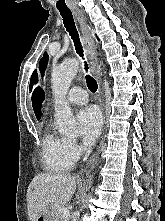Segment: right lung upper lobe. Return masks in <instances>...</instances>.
<instances>
[{"instance_id":"obj_1","label":"right lung upper lobe","mask_w":165,"mask_h":221,"mask_svg":"<svg viewBox=\"0 0 165 221\" xmlns=\"http://www.w3.org/2000/svg\"><path fill=\"white\" fill-rule=\"evenodd\" d=\"M36 83H37V71L35 70L31 77L30 90H32L33 84H36Z\"/></svg>"}]
</instances>
